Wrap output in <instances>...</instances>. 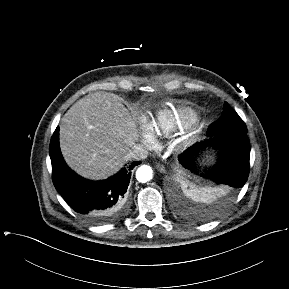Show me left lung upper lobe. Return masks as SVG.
<instances>
[{
	"instance_id": "1",
	"label": "left lung upper lobe",
	"mask_w": 289,
	"mask_h": 289,
	"mask_svg": "<svg viewBox=\"0 0 289 289\" xmlns=\"http://www.w3.org/2000/svg\"><path fill=\"white\" fill-rule=\"evenodd\" d=\"M230 131L247 132V128L239 115L225 102L221 117L210 125L207 134L217 135Z\"/></svg>"
}]
</instances>
